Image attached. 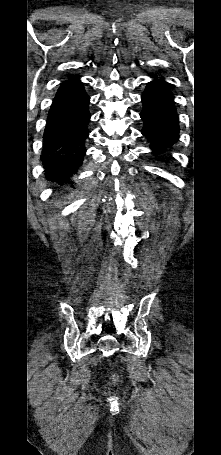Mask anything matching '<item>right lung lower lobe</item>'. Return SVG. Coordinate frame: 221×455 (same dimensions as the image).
Segmentation results:
<instances>
[{
    "mask_svg": "<svg viewBox=\"0 0 221 455\" xmlns=\"http://www.w3.org/2000/svg\"><path fill=\"white\" fill-rule=\"evenodd\" d=\"M89 103L82 82L73 75L60 85L49 110L41 160L59 183L69 181L82 165L89 136Z\"/></svg>",
    "mask_w": 221,
    "mask_h": 455,
    "instance_id": "obj_1",
    "label": "right lung lower lobe"
}]
</instances>
